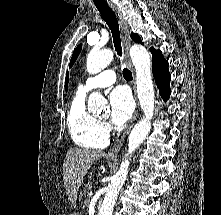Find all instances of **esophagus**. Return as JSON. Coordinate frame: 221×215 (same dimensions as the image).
Returning a JSON list of instances; mask_svg holds the SVG:
<instances>
[{
  "label": "esophagus",
  "mask_w": 221,
  "mask_h": 215,
  "mask_svg": "<svg viewBox=\"0 0 221 215\" xmlns=\"http://www.w3.org/2000/svg\"><path fill=\"white\" fill-rule=\"evenodd\" d=\"M111 8L115 12V14L117 15L118 20H119L126 64L133 71V65H132V61H131L130 53H129L130 47H131V38H130V31H129L128 24H127L125 18L123 17L122 13L117 9L116 6L111 5ZM134 95H135V100H136L137 108H138V100H137V97H136L135 88H134ZM137 115H138V110H136V112H135V115L132 119V123L136 119ZM131 128H132V124L125 130V132L122 134V136L119 138V140L109 150L107 156L117 157V155H118V153H119V151H120V149H121V147H122V145L125 141V138L129 134Z\"/></svg>",
  "instance_id": "obj_1"
}]
</instances>
